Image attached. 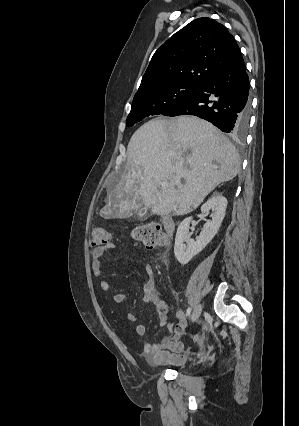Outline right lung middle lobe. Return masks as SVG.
I'll list each match as a JSON object with an SVG mask.
<instances>
[{
  "mask_svg": "<svg viewBox=\"0 0 299 426\" xmlns=\"http://www.w3.org/2000/svg\"><path fill=\"white\" fill-rule=\"evenodd\" d=\"M199 85L178 83L151 90L133 99L131 111L127 117L126 125L135 123L151 115H167L177 106L189 99L198 89Z\"/></svg>",
  "mask_w": 299,
  "mask_h": 426,
  "instance_id": "right-lung-middle-lobe-1",
  "label": "right lung middle lobe"
}]
</instances>
